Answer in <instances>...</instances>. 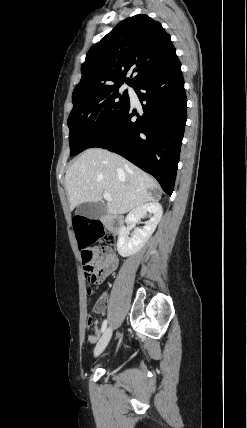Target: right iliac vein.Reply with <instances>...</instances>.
<instances>
[{
    "label": "right iliac vein",
    "mask_w": 247,
    "mask_h": 428,
    "mask_svg": "<svg viewBox=\"0 0 247 428\" xmlns=\"http://www.w3.org/2000/svg\"><path fill=\"white\" fill-rule=\"evenodd\" d=\"M112 336V328L109 327L106 329V331L103 333L102 337L100 338V340L98 341L95 350H94V355L97 357L99 356L104 349L106 348V346L108 345L110 339Z\"/></svg>",
    "instance_id": "right-iliac-vein-1"
}]
</instances>
